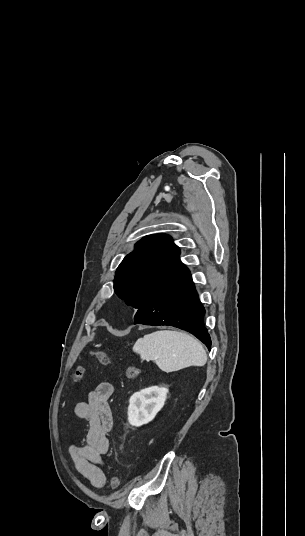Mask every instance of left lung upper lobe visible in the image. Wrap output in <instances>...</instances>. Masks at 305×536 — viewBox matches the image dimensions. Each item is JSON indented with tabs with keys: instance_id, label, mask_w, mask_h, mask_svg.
I'll use <instances>...</instances> for the list:
<instances>
[{
	"instance_id": "left-lung-upper-lobe-1",
	"label": "left lung upper lobe",
	"mask_w": 305,
	"mask_h": 536,
	"mask_svg": "<svg viewBox=\"0 0 305 536\" xmlns=\"http://www.w3.org/2000/svg\"><path fill=\"white\" fill-rule=\"evenodd\" d=\"M179 254V247L166 234L142 238L116 270L115 293L127 305L139 309L151 296L187 270Z\"/></svg>"
}]
</instances>
